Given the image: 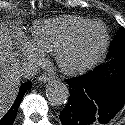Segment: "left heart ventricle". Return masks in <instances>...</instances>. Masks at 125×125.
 <instances>
[{
	"mask_svg": "<svg viewBox=\"0 0 125 125\" xmlns=\"http://www.w3.org/2000/svg\"><path fill=\"white\" fill-rule=\"evenodd\" d=\"M101 36V30L97 27L85 33L79 43L67 54L68 61L76 63L90 56L97 48Z\"/></svg>",
	"mask_w": 125,
	"mask_h": 125,
	"instance_id": "b2bd125f",
	"label": "left heart ventricle"
}]
</instances>
